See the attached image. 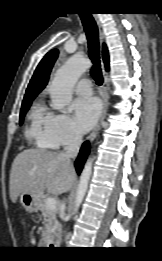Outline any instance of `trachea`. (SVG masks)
Masks as SVG:
<instances>
[{
	"label": "trachea",
	"instance_id": "obj_1",
	"mask_svg": "<svg viewBox=\"0 0 162 261\" xmlns=\"http://www.w3.org/2000/svg\"><path fill=\"white\" fill-rule=\"evenodd\" d=\"M80 18L88 40L89 57L93 63L91 75L96 81V84L100 86L103 83V77L100 67L98 27L91 14L81 13Z\"/></svg>",
	"mask_w": 162,
	"mask_h": 261
}]
</instances>
